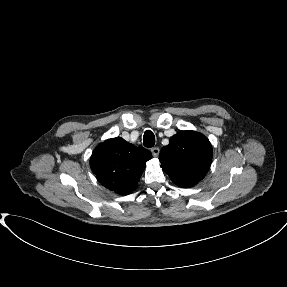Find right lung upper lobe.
I'll use <instances>...</instances> for the list:
<instances>
[{
  "instance_id": "obj_1",
  "label": "right lung upper lobe",
  "mask_w": 287,
  "mask_h": 287,
  "mask_svg": "<svg viewBox=\"0 0 287 287\" xmlns=\"http://www.w3.org/2000/svg\"><path fill=\"white\" fill-rule=\"evenodd\" d=\"M152 154L121 137L100 143L92 153L90 167L98 181L119 195L132 193Z\"/></svg>"
}]
</instances>
